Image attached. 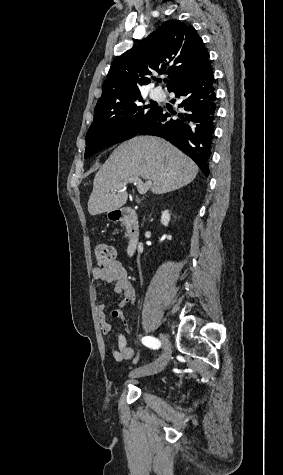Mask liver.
Wrapping results in <instances>:
<instances>
[{"label":"liver","instance_id":"6515ba94","mask_svg":"<svg viewBox=\"0 0 283 475\" xmlns=\"http://www.w3.org/2000/svg\"><path fill=\"white\" fill-rule=\"evenodd\" d=\"M199 172L195 162L156 136H136L120 144L97 172L88 200L91 216L112 212L127 202V192L110 194L116 184L141 176L149 180L153 194H166L190 184Z\"/></svg>","mask_w":283,"mask_h":475}]
</instances>
